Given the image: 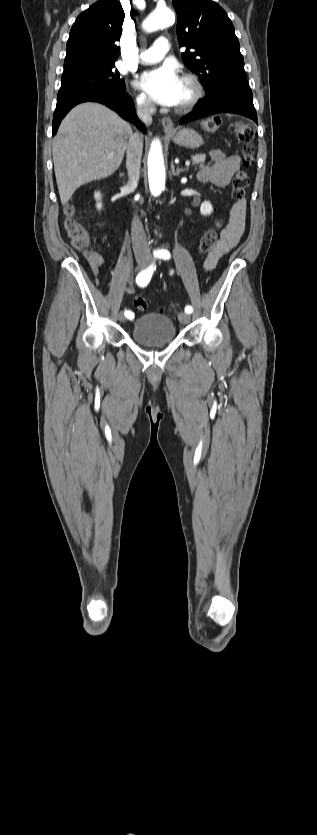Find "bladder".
Instances as JSON below:
<instances>
[{
  "instance_id": "1",
  "label": "bladder",
  "mask_w": 317,
  "mask_h": 835,
  "mask_svg": "<svg viewBox=\"0 0 317 835\" xmlns=\"http://www.w3.org/2000/svg\"><path fill=\"white\" fill-rule=\"evenodd\" d=\"M131 337L136 343L144 346L164 345L176 338V328L169 317L148 313L134 323Z\"/></svg>"
}]
</instances>
